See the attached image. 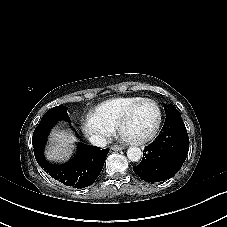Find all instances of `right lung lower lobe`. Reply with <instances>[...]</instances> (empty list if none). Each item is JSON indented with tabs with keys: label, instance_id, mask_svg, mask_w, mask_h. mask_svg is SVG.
<instances>
[{
	"label": "right lung lower lobe",
	"instance_id": "right-lung-lower-lobe-1",
	"mask_svg": "<svg viewBox=\"0 0 227 227\" xmlns=\"http://www.w3.org/2000/svg\"><path fill=\"white\" fill-rule=\"evenodd\" d=\"M53 126V125H52ZM52 126L36 127L32 143L36 161L52 178L66 186L85 188L92 185L99 176L109 149L79 144L76 155L66 164L53 165L46 161L43 149Z\"/></svg>",
	"mask_w": 227,
	"mask_h": 227
}]
</instances>
